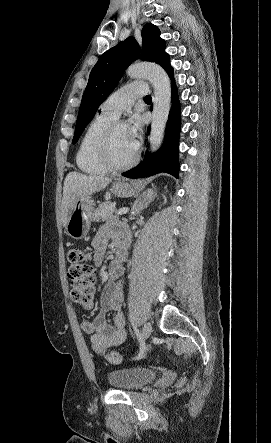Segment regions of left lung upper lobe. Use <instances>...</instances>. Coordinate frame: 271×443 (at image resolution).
<instances>
[{
  "label": "left lung upper lobe",
  "instance_id": "left-lung-upper-lobe-1",
  "mask_svg": "<svg viewBox=\"0 0 271 443\" xmlns=\"http://www.w3.org/2000/svg\"><path fill=\"white\" fill-rule=\"evenodd\" d=\"M165 41L150 23L142 29V60L157 62L165 54ZM140 47L133 37L106 51L93 67L84 91L73 137L76 143L99 105L114 90L125 69L139 58Z\"/></svg>",
  "mask_w": 271,
  "mask_h": 443
}]
</instances>
